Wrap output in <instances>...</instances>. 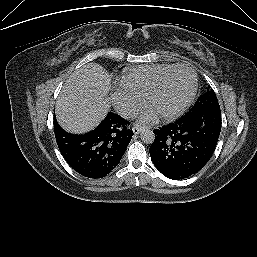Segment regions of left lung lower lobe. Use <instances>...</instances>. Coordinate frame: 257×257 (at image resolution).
<instances>
[{
    "mask_svg": "<svg viewBox=\"0 0 257 257\" xmlns=\"http://www.w3.org/2000/svg\"><path fill=\"white\" fill-rule=\"evenodd\" d=\"M221 112L187 113L153 130L149 149L155 167L166 177L180 180L200 171L210 160L221 131Z\"/></svg>",
    "mask_w": 257,
    "mask_h": 257,
    "instance_id": "left-lung-lower-lobe-1",
    "label": "left lung lower lobe"
}]
</instances>
